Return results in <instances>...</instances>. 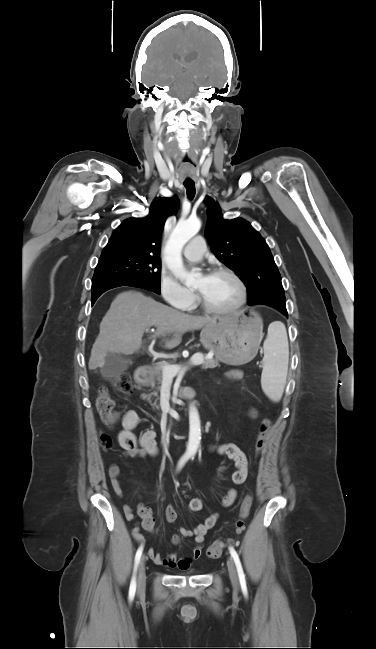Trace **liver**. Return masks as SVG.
Segmentation results:
<instances>
[{
	"mask_svg": "<svg viewBox=\"0 0 376 649\" xmlns=\"http://www.w3.org/2000/svg\"><path fill=\"white\" fill-rule=\"evenodd\" d=\"M216 318L191 316L162 303L141 292L120 293L111 303L104 316L99 335L93 344L89 369L95 370L105 363L108 352L130 355L142 345L145 330L155 326L154 337L175 333V338L165 343L172 349L180 344L181 335L216 322Z\"/></svg>",
	"mask_w": 376,
	"mask_h": 649,
	"instance_id": "1",
	"label": "liver"
}]
</instances>
